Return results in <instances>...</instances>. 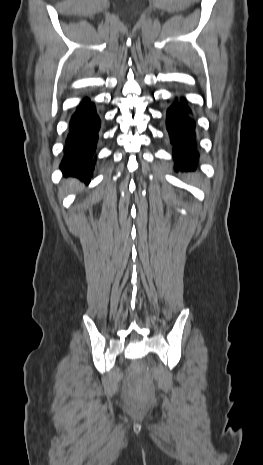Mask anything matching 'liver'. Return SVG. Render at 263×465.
Here are the masks:
<instances>
[{"instance_id":"liver-1","label":"liver","mask_w":263,"mask_h":465,"mask_svg":"<svg viewBox=\"0 0 263 465\" xmlns=\"http://www.w3.org/2000/svg\"><path fill=\"white\" fill-rule=\"evenodd\" d=\"M75 183H76L75 180H71V181L69 182L70 185H74Z\"/></svg>"}]
</instances>
